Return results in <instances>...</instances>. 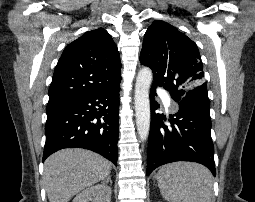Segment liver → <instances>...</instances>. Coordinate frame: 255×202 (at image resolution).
Wrapping results in <instances>:
<instances>
[{
	"label": "liver",
	"mask_w": 255,
	"mask_h": 202,
	"mask_svg": "<svg viewBox=\"0 0 255 202\" xmlns=\"http://www.w3.org/2000/svg\"><path fill=\"white\" fill-rule=\"evenodd\" d=\"M112 164L102 156L80 148L62 149L44 163L49 202H69L80 191L106 179Z\"/></svg>",
	"instance_id": "6515ba94"
}]
</instances>
